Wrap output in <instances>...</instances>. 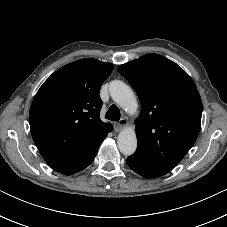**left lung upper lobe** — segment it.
Listing matches in <instances>:
<instances>
[{"label": "left lung upper lobe", "instance_id": "left-lung-upper-lobe-1", "mask_svg": "<svg viewBox=\"0 0 227 227\" xmlns=\"http://www.w3.org/2000/svg\"><path fill=\"white\" fill-rule=\"evenodd\" d=\"M136 90L141 113L136 120L135 156L173 168L195 143L202 102L192 78L176 63L148 54L118 67Z\"/></svg>", "mask_w": 227, "mask_h": 227}]
</instances>
